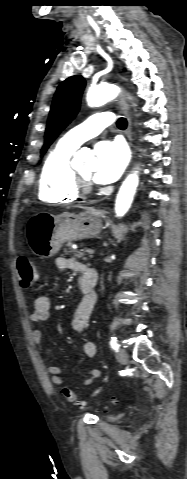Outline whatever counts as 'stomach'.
<instances>
[{
	"instance_id": "1",
	"label": "stomach",
	"mask_w": 187,
	"mask_h": 479,
	"mask_svg": "<svg viewBox=\"0 0 187 479\" xmlns=\"http://www.w3.org/2000/svg\"><path fill=\"white\" fill-rule=\"evenodd\" d=\"M101 216L100 211L92 208L78 214L40 212L26 226L29 247L42 258L52 257L66 241L97 236L102 227Z\"/></svg>"
}]
</instances>
